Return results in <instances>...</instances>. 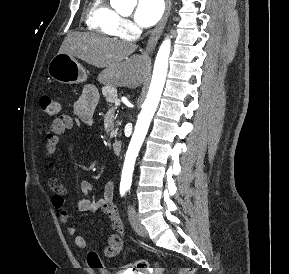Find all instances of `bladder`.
Returning a JSON list of instances; mask_svg holds the SVG:
<instances>
[{"instance_id": "obj_1", "label": "bladder", "mask_w": 289, "mask_h": 274, "mask_svg": "<svg viewBox=\"0 0 289 274\" xmlns=\"http://www.w3.org/2000/svg\"><path fill=\"white\" fill-rule=\"evenodd\" d=\"M143 272V271H142ZM117 274H146V273H139V272H135V271H126L123 273H117Z\"/></svg>"}]
</instances>
